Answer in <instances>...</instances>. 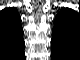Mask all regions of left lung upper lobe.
Here are the masks:
<instances>
[{
  "label": "left lung upper lobe",
  "mask_w": 80,
  "mask_h": 60,
  "mask_svg": "<svg viewBox=\"0 0 80 60\" xmlns=\"http://www.w3.org/2000/svg\"><path fill=\"white\" fill-rule=\"evenodd\" d=\"M75 16L76 13L68 8L61 10L56 16V22L53 28V39L54 36H57L58 41H60L61 44H65L66 47H69V44H71L72 37L70 28H72Z\"/></svg>",
  "instance_id": "left-lung-upper-lobe-1"
}]
</instances>
